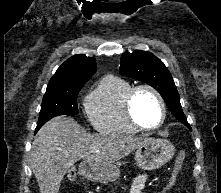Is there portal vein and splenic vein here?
<instances>
[{
    "instance_id": "18ae733b",
    "label": "portal vein and splenic vein",
    "mask_w": 221,
    "mask_h": 193,
    "mask_svg": "<svg viewBox=\"0 0 221 193\" xmlns=\"http://www.w3.org/2000/svg\"><path fill=\"white\" fill-rule=\"evenodd\" d=\"M92 151L95 152V151H97V150H96L95 148H92Z\"/></svg>"
}]
</instances>
